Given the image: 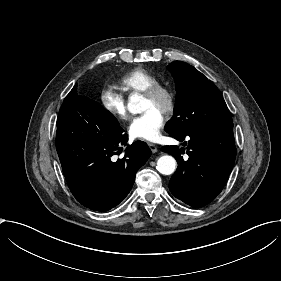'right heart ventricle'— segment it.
<instances>
[{
  "label": "right heart ventricle",
  "mask_w": 281,
  "mask_h": 281,
  "mask_svg": "<svg viewBox=\"0 0 281 281\" xmlns=\"http://www.w3.org/2000/svg\"><path fill=\"white\" fill-rule=\"evenodd\" d=\"M155 85H158V80L143 67L131 69L118 81V88L129 96L144 93Z\"/></svg>",
  "instance_id": "right-heart-ventricle-1"
}]
</instances>
